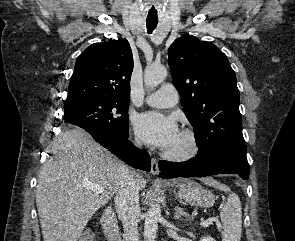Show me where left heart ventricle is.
<instances>
[{"instance_id":"obj_1","label":"left heart ventricle","mask_w":295,"mask_h":241,"mask_svg":"<svg viewBox=\"0 0 295 241\" xmlns=\"http://www.w3.org/2000/svg\"><path fill=\"white\" fill-rule=\"evenodd\" d=\"M186 147H187V141L179 134L176 141L167 150H169V151H182V150L186 149Z\"/></svg>"}]
</instances>
